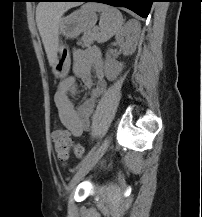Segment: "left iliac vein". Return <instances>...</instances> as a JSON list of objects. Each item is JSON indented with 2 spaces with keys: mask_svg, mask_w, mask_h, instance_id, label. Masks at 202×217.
I'll return each instance as SVG.
<instances>
[{
  "mask_svg": "<svg viewBox=\"0 0 202 217\" xmlns=\"http://www.w3.org/2000/svg\"><path fill=\"white\" fill-rule=\"evenodd\" d=\"M109 143L110 139L106 138L102 142L101 146L91 155L88 161L79 168V170L75 173L67 187L68 192H71L76 187V185L84 178V176L96 165V163L106 152Z\"/></svg>",
  "mask_w": 202,
  "mask_h": 217,
  "instance_id": "1",
  "label": "left iliac vein"
}]
</instances>
